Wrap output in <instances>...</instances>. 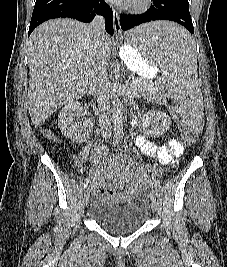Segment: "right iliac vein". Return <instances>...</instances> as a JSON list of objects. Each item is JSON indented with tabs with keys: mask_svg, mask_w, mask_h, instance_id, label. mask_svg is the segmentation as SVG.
Masks as SVG:
<instances>
[{
	"mask_svg": "<svg viewBox=\"0 0 227 267\" xmlns=\"http://www.w3.org/2000/svg\"><path fill=\"white\" fill-rule=\"evenodd\" d=\"M88 202H89V192L86 191V192L84 193V195H83V203H84V205H87Z\"/></svg>",
	"mask_w": 227,
	"mask_h": 267,
	"instance_id": "obj_1",
	"label": "right iliac vein"
}]
</instances>
